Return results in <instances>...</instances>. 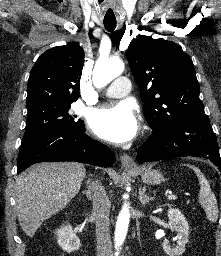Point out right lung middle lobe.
I'll return each instance as SVG.
<instances>
[{"mask_svg":"<svg viewBox=\"0 0 221 256\" xmlns=\"http://www.w3.org/2000/svg\"><path fill=\"white\" fill-rule=\"evenodd\" d=\"M70 105L44 104L28 109L22 143L47 131L84 127V122L81 119L70 114Z\"/></svg>","mask_w":221,"mask_h":256,"instance_id":"1","label":"right lung middle lobe"}]
</instances>
